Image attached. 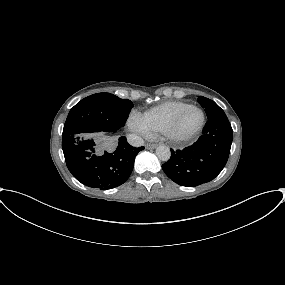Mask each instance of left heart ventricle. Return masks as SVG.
<instances>
[{
    "label": "left heart ventricle",
    "mask_w": 285,
    "mask_h": 285,
    "mask_svg": "<svg viewBox=\"0 0 285 285\" xmlns=\"http://www.w3.org/2000/svg\"><path fill=\"white\" fill-rule=\"evenodd\" d=\"M200 121L201 115L199 111L192 109L186 113L178 128V132L181 134L189 133L198 127Z\"/></svg>",
    "instance_id": "obj_1"
}]
</instances>
